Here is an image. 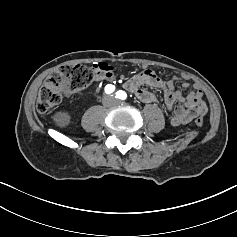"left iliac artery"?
<instances>
[{
  "label": "left iliac artery",
  "instance_id": "obj_1",
  "mask_svg": "<svg viewBox=\"0 0 237 237\" xmlns=\"http://www.w3.org/2000/svg\"><path fill=\"white\" fill-rule=\"evenodd\" d=\"M115 97L118 98V99L124 100V99L127 98V94H126L125 91L119 90V91L116 92V96Z\"/></svg>",
  "mask_w": 237,
  "mask_h": 237
}]
</instances>
